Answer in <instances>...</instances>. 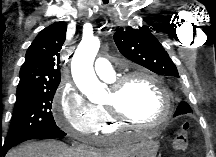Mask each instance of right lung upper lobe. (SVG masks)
<instances>
[{"mask_svg": "<svg viewBox=\"0 0 216 157\" xmlns=\"http://www.w3.org/2000/svg\"><path fill=\"white\" fill-rule=\"evenodd\" d=\"M67 24L56 22L43 29L28 48L20 69L16 97L36 90L57 88L60 81V50Z\"/></svg>", "mask_w": 216, "mask_h": 157, "instance_id": "right-lung-upper-lobe-1", "label": "right lung upper lobe"}]
</instances>
